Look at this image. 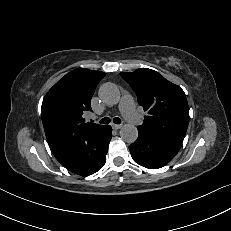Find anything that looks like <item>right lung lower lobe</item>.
Listing matches in <instances>:
<instances>
[{
    "instance_id": "98d812e1",
    "label": "right lung lower lobe",
    "mask_w": 231,
    "mask_h": 231,
    "mask_svg": "<svg viewBox=\"0 0 231 231\" xmlns=\"http://www.w3.org/2000/svg\"><path fill=\"white\" fill-rule=\"evenodd\" d=\"M111 136V126L104 125L96 131L81 136L73 154L58 161L75 174L82 176L94 174L106 162Z\"/></svg>"
}]
</instances>
